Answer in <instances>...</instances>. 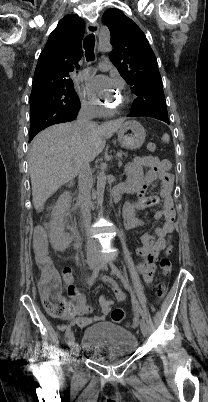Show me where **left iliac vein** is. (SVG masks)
<instances>
[{"instance_id": "obj_1", "label": "left iliac vein", "mask_w": 208, "mask_h": 402, "mask_svg": "<svg viewBox=\"0 0 208 402\" xmlns=\"http://www.w3.org/2000/svg\"><path fill=\"white\" fill-rule=\"evenodd\" d=\"M98 263H99V265H100V268H101L103 271H108V266H107V264L105 263V261H104L101 257H99ZM139 323H140V328H141L142 334H143L144 336H147V334H148V325H147L145 319H144V318H141L140 321H139Z\"/></svg>"}]
</instances>
